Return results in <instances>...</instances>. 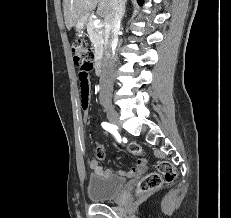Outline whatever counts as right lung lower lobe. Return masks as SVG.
<instances>
[{"label": "right lung lower lobe", "mask_w": 231, "mask_h": 218, "mask_svg": "<svg viewBox=\"0 0 231 218\" xmlns=\"http://www.w3.org/2000/svg\"><path fill=\"white\" fill-rule=\"evenodd\" d=\"M138 3L141 5L143 3L144 0H137Z\"/></svg>", "instance_id": "right-lung-lower-lobe-1"}]
</instances>
